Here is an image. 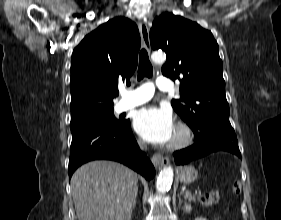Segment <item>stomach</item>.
Instances as JSON below:
<instances>
[{
  "instance_id": "1",
  "label": "stomach",
  "mask_w": 281,
  "mask_h": 220,
  "mask_svg": "<svg viewBox=\"0 0 281 220\" xmlns=\"http://www.w3.org/2000/svg\"><path fill=\"white\" fill-rule=\"evenodd\" d=\"M180 180L184 184H189L195 181L198 178L197 170L192 166H184L178 171Z\"/></svg>"
}]
</instances>
